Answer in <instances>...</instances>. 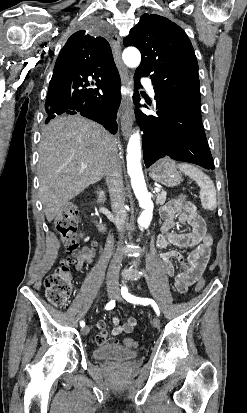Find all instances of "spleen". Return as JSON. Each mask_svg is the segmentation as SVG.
<instances>
[{"mask_svg":"<svg viewBox=\"0 0 247 413\" xmlns=\"http://www.w3.org/2000/svg\"><path fill=\"white\" fill-rule=\"evenodd\" d=\"M178 168L183 170L185 174L191 176L196 180L198 186H200V200L203 204L204 209H209L213 211L217 207V192L213 180L210 176H207L203 170L197 168V166H192V164H186V162H181L178 164Z\"/></svg>","mask_w":247,"mask_h":413,"instance_id":"obj_1","label":"spleen"}]
</instances>
